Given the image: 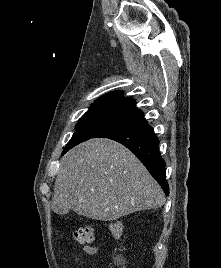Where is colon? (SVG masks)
Segmentation results:
<instances>
[{
	"instance_id": "colon-1",
	"label": "colon",
	"mask_w": 221,
	"mask_h": 268,
	"mask_svg": "<svg viewBox=\"0 0 221 268\" xmlns=\"http://www.w3.org/2000/svg\"><path fill=\"white\" fill-rule=\"evenodd\" d=\"M110 230L114 237L120 238L123 234V225L120 222H113ZM73 237L79 244L89 245L95 238L94 229L89 225H83L73 231Z\"/></svg>"
}]
</instances>
